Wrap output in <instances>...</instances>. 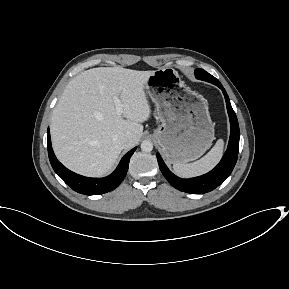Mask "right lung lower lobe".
<instances>
[{"mask_svg":"<svg viewBox=\"0 0 289 289\" xmlns=\"http://www.w3.org/2000/svg\"><path fill=\"white\" fill-rule=\"evenodd\" d=\"M47 136L48 155L54 171L74 191L86 195L103 194L118 187L127 174L130 157L136 150V148H133L126 153L121 159L116 170L111 175L104 178H88L68 170L57 160L51 146L49 128L47 130Z\"/></svg>","mask_w":289,"mask_h":289,"instance_id":"right-lung-lower-lobe-1","label":"right lung lower lobe"}]
</instances>
